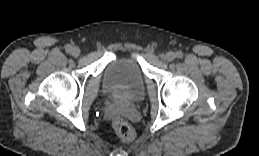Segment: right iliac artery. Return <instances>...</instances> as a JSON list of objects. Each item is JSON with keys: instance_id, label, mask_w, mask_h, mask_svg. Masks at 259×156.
Listing matches in <instances>:
<instances>
[{"instance_id": "82829eb1", "label": "right iliac artery", "mask_w": 259, "mask_h": 156, "mask_svg": "<svg viewBox=\"0 0 259 156\" xmlns=\"http://www.w3.org/2000/svg\"><path fill=\"white\" fill-rule=\"evenodd\" d=\"M71 49H72V47L70 45L65 46L66 52H68V53L71 52Z\"/></svg>"}]
</instances>
